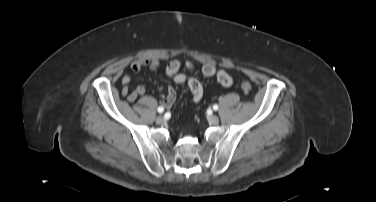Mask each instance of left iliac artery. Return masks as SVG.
I'll use <instances>...</instances> for the list:
<instances>
[{
	"label": "left iliac artery",
	"mask_w": 376,
	"mask_h": 202,
	"mask_svg": "<svg viewBox=\"0 0 376 202\" xmlns=\"http://www.w3.org/2000/svg\"><path fill=\"white\" fill-rule=\"evenodd\" d=\"M213 109L218 110V105L217 104L213 105Z\"/></svg>",
	"instance_id": "44dca946"
}]
</instances>
